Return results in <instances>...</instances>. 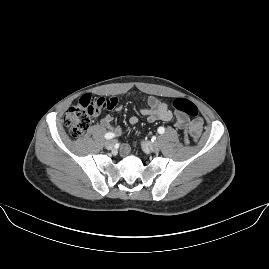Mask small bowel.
I'll return each instance as SVG.
<instances>
[{
    "label": "small bowel",
    "instance_id": "c3829d8e",
    "mask_svg": "<svg viewBox=\"0 0 269 269\" xmlns=\"http://www.w3.org/2000/svg\"><path fill=\"white\" fill-rule=\"evenodd\" d=\"M141 113L147 116V120L150 123H153L159 120L168 122L174 119V115L171 112V110L168 108V105L154 96H151L148 98L147 108L141 109ZM176 114H179V111H176ZM197 120L202 126V120L201 119H197ZM113 122H114V118L110 114L103 115L99 121L101 126L108 127V128H113ZM129 122L132 125L137 124L138 118L136 116H132L130 117ZM175 124L179 128H186V127H189L192 123L189 122L187 115L182 114V115H178L175 118ZM196 131H199V128H196ZM121 152L123 155H128L130 152L129 146L124 145L121 149Z\"/></svg>",
    "mask_w": 269,
    "mask_h": 269
}]
</instances>
